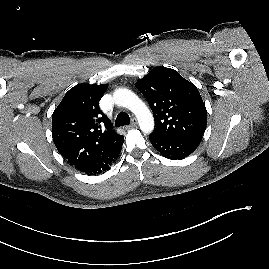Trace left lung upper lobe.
<instances>
[{
	"instance_id": "5c2ea615",
	"label": "left lung upper lobe",
	"mask_w": 269,
	"mask_h": 269,
	"mask_svg": "<svg viewBox=\"0 0 269 269\" xmlns=\"http://www.w3.org/2000/svg\"><path fill=\"white\" fill-rule=\"evenodd\" d=\"M135 86L146 97L155 120L151 135L168 139H201L207 111L195 85L177 71L156 67Z\"/></svg>"
}]
</instances>
